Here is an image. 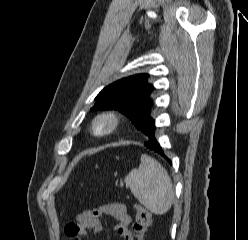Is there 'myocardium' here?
I'll use <instances>...</instances> for the list:
<instances>
[{
  "mask_svg": "<svg viewBox=\"0 0 248 240\" xmlns=\"http://www.w3.org/2000/svg\"><path fill=\"white\" fill-rule=\"evenodd\" d=\"M108 122V127L103 130H98L97 125L100 121ZM121 119L117 112L113 110H105L95 116L92 122V132L97 136H106L113 133L120 125Z\"/></svg>",
  "mask_w": 248,
  "mask_h": 240,
  "instance_id": "obj_1",
  "label": "myocardium"
}]
</instances>
